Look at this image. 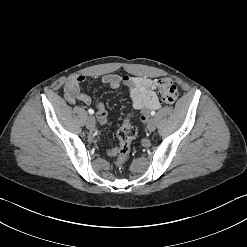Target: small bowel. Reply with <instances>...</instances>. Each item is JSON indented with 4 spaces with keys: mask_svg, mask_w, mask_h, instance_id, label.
Wrapping results in <instances>:
<instances>
[{
    "mask_svg": "<svg viewBox=\"0 0 247 247\" xmlns=\"http://www.w3.org/2000/svg\"><path fill=\"white\" fill-rule=\"evenodd\" d=\"M84 80L85 77L83 75H74L67 80L64 86V94L69 103L74 104L76 101L87 105L91 103L90 96L81 91V84ZM101 82L111 88L125 86L129 91L132 106L141 112V120L143 122L147 121L149 111L160 107V101L156 94L158 80L129 75L107 74L101 78ZM97 118L100 124H108L107 111L102 103L97 105ZM108 153L110 156H114V148L110 149Z\"/></svg>",
    "mask_w": 247,
    "mask_h": 247,
    "instance_id": "small-bowel-1",
    "label": "small bowel"
}]
</instances>
